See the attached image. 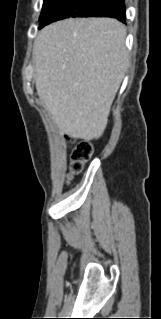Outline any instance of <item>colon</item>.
Wrapping results in <instances>:
<instances>
[{
  "instance_id": "1",
  "label": "colon",
  "mask_w": 161,
  "mask_h": 319,
  "mask_svg": "<svg viewBox=\"0 0 161 319\" xmlns=\"http://www.w3.org/2000/svg\"><path fill=\"white\" fill-rule=\"evenodd\" d=\"M92 154L93 146L88 142H80L74 147L69 168L70 179L82 171L84 163L90 159Z\"/></svg>"
}]
</instances>
